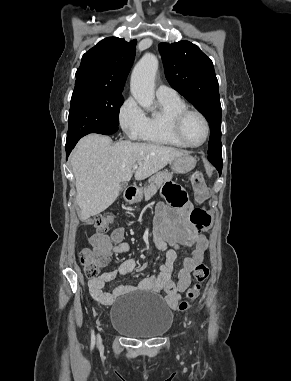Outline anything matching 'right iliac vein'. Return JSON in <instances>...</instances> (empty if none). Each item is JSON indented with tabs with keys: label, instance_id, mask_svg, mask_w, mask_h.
I'll return each instance as SVG.
<instances>
[{
	"label": "right iliac vein",
	"instance_id": "63e3f726",
	"mask_svg": "<svg viewBox=\"0 0 291 381\" xmlns=\"http://www.w3.org/2000/svg\"><path fill=\"white\" fill-rule=\"evenodd\" d=\"M98 343H100V337L98 336Z\"/></svg>",
	"mask_w": 291,
	"mask_h": 381
}]
</instances>
